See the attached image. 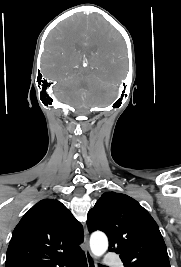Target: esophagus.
<instances>
[{
    "label": "esophagus",
    "instance_id": "obj_1",
    "mask_svg": "<svg viewBox=\"0 0 181 267\" xmlns=\"http://www.w3.org/2000/svg\"><path fill=\"white\" fill-rule=\"evenodd\" d=\"M84 247H85V256H86L88 267H96L94 257L89 249L87 228H85L84 230Z\"/></svg>",
    "mask_w": 181,
    "mask_h": 267
}]
</instances>
